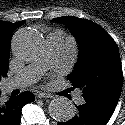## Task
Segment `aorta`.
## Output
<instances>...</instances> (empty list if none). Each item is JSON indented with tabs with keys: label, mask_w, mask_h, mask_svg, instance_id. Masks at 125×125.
Listing matches in <instances>:
<instances>
[{
	"label": "aorta",
	"mask_w": 125,
	"mask_h": 125,
	"mask_svg": "<svg viewBox=\"0 0 125 125\" xmlns=\"http://www.w3.org/2000/svg\"><path fill=\"white\" fill-rule=\"evenodd\" d=\"M41 44L40 34L33 30L21 29L14 37L16 54L24 60L33 59L38 54ZM48 111L53 119L60 122L70 120L75 114L72 103L65 97L52 100Z\"/></svg>",
	"instance_id": "obj_1"
}]
</instances>
